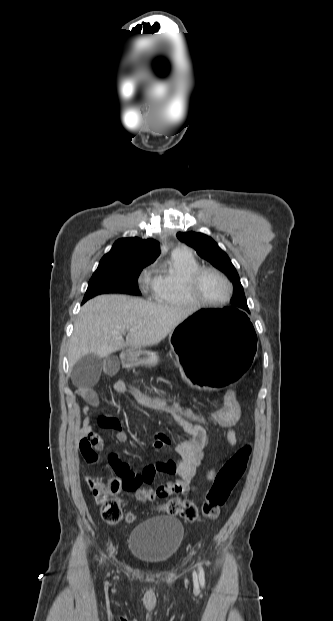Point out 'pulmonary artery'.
Wrapping results in <instances>:
<instances>
[{"mask_svg":"<svg viewBox=\"0 0 333 621\" xmlns=\"http://www.w3.org/2000/svg\"><path fill=\"white\" fill-rule=\"evenodd\" d=\"M179 251H180V252H186V253H188V251H187V250H185V249H181V250H179Z\"/></svg>","mask_w":333,"mask_h":621,"instance_id":"obj_1","label":"pulmonary artery"}]
</instances>
